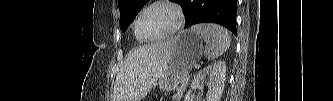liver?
Returning a JSON list of instances; mask_svg holds the SVG:
<instances>
[{
    "mask_svg": "<svg viewBox=\"0 0 333 101\" xmlns=\"http://www.w3.org/2000/svg\"><path fill=\"white\" fill-rule=\"evenodd\" d=\"M169 53L168 41L138 47L116 77L114 101H140L161 76Z\"/></svg>",
    "mask_w": 333,
    "mask_h": 101,
    "instance_id": "liver-1",
    "label": "liver"
}]
</instances>
